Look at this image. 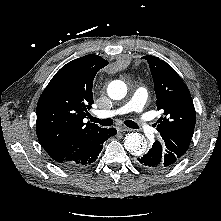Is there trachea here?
Instances as JSON below:
<instances>
[{
    "label": "trachea",
    "instance_id": "1",
    "mask_svg": "<svg viewBox=\"0 0 221 221\" xmlns=\"http://www.w3.org/2000/svg\"><path fill=\"white\" fill-rule=\"evenodd\" d=\"M90 120L92 122L99 123L102 126H111L113 124V120L111 118L101 120V119H98V118H95V117L91 116ZM124 123L127 127H130V128H133V129H138L139 128V126L132 120H126Z\"/></svg>",
    "mask_w": 221,
    "mask_h": 221
}]
</instances>
